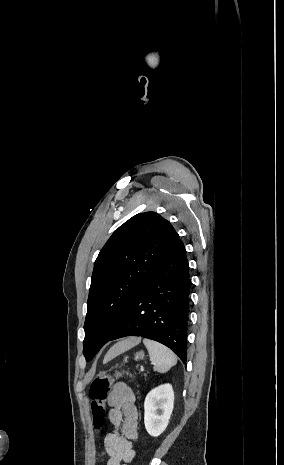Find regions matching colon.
Returning a JSON list of instances; mask_svg holds the SVG:
<instances>
[{
  "mask_svg": "<svg viewBox=\"0 0 284 465\" xmlns=\"http://www.w3.org/2000/svg\"><path fill=\"white\" fill-rule=\"evenodd\" d=\"M126 372H116L114 374H100L92 381L89 387V397L91 404L95 406V413L93 415V420L95 423V428L97 430H102L104 428V423L102 420V415L106 411V400L109 394V387L112 382H114L118 377L124 375Z\"/></svg>",
  "mask_w": 284,
  "mask_h": 465,
  "instance_id": "obj_1",
  "label": "colon"
}]
</instances>
